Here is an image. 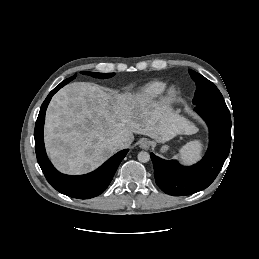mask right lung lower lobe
Segmentation results:
<instances>
[{
    "mask_svg": "<svg viewBox=\"0 0 259 259\" xmlns=\"http://www.w3.org/2000/svg\"><path fill=\"white\" fill-rule=\"evenodd\" d=\"M64 86L60 83L43 102L35 124L34 138L37 161L49 184L60 193L78 199H89L101 194L111 182L128 149L122 150L107 160L95 171L81 176H69L58 172L49 161L43 140L45 112L52 96Z\"/></svg>",
    "mask_w": 259,
    "mask_h": 259,
    "instance_id": "obj_1",
    "label": "right lung lower lobe"
}]
</instances>
